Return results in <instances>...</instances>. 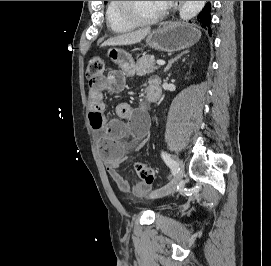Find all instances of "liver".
<instances>
[{"label":"liver","mask_w":271,"mask_h":266,"mask_svg":"<svg viewBox=\"0 0 271 266\" xmlns=\"http://www.w3.org/2000/svg\"><path fill=\"white\" fill-rule=\"evenodd\" d=\"M150 28L140 29L134 32L117 35L106 40L102 46L132 45L141 42L149 33Z\"/></svg>","instance_id":"liver-1"}]
</instances>
